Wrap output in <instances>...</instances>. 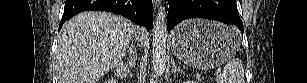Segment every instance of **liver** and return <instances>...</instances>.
<instances>
[{
	"label": "liver",
	"mask_w": 307,
	"mask_h": 83,
	"mask_svg": "<svg viewBox=\"0 0 307 83\" xmlns=\"http://www.w3.org/2000/svg\"><path fill=\"white\" fill-rule=\"evenodd\" d=\"M146 45L148 35L127 19L108 12H82L61 28L58 83H96L124 57L132 37Z\"/></svg>",
	"instance_id": "liver-1"
}]
</instances>
